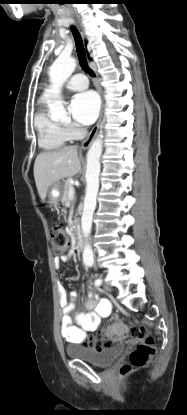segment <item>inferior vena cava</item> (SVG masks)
<instances>
[{
    "instance_id": "obj_1",
    "label": "inferior vena cava",
    "mask_w": 187,
    "mask_h": 415,
    "mask_svg": "<svg viewBox=\"0 0 187 415\" xmlns=\"http://www.w3.org/2000/svg\"><path fill=\"white\" fill-rule=\"evenodd\" d=\"M83 132L86 133L87 131L86 130H83Z\"/></svg>"
}]
</instances>
